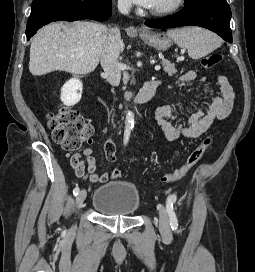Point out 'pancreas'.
I'll return each instance as SVG.
<instances>
[{
  "mask_svg": "<svg viewBox=\"0 0 255 272\" xmlns=\"http://www.w3.org/2000/svg\"><path fill=\"white\" fill-rule=\"evenodd\" d=\"M161 63L163 65V71L167 73L169 76H173L177 73V69L175 68V64L171 63L167 59H162Z\"/></svg>",
  "mask_w": 255,
  "mask_h": 272,
  "instance_id": "cf45deb5",
  "label": "pancreas"
}]
</instances>
